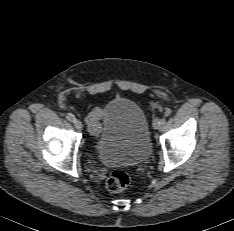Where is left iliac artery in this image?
<instances>
[{"mask_svg":"<svg viewBox=\"0 0 234 231\" xmlns=\"http://www.w3.org/2000/svg\"><path fill=\"white\" fill-rule=\"evenodd\" d=\"M165 123H166V119L163 117L160 119V122H159V126H160V129H163L164 126H165Z\"/></svg>","mask_w":234,"mask_h":231,"instance_id":"left-iliac-artery-1","label":"left iliac artery"}]
</instances>
